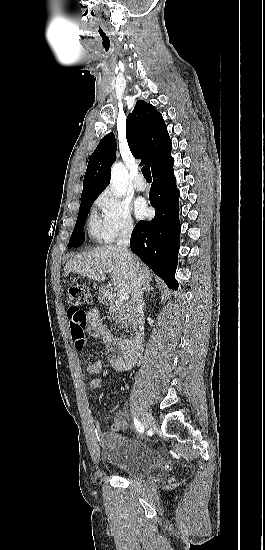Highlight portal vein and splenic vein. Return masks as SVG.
I'll use <instances>...</instances> for the list:
<instances>
[{
    "mask_svg": "<svg viewBox=\"0 0 265 550\" xmlns=\"http://www.w3.org/2000/svg\"><path fill=\"white\" fill-rule=\"evenodd\" d=\"M118 296L121 300H127L129 298V294L126 291H123V290L118 291Z\"/></svg>",
    "mask_w": 265,
    "mask_h": 550,
    "instance_id": "1",
    "label": "portal vein and splenic vein"
}]
</instances>
